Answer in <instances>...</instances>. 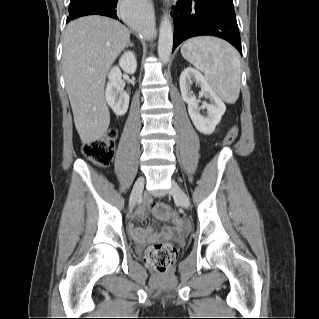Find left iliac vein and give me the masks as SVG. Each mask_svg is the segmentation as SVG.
<instances>
[{"instance_id":"left-iliac-vein-1","label":"left iliac vein","mask_w":319,"mask_h":319,"mask_svg":"<svg viewBox=\"0 0 319 319\" xmlns=\"http://www.w3.org/2000/svg\"><path fill=\"white\" fill-rule=\"evenodd\" d=\"M171 183H172V186L170 189V194L176 200H178V202L180 203V205L183 208L189 209L190 201H189V197L187 196V194L180 188V186L175 181H172Z\"/></svg>"}]
</instances>
